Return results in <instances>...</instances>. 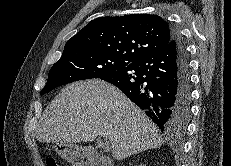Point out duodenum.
Wrapping results in <instances>:
<instances>
[{
    "label": "duodenum",
    "instance_id": "410a0bca",
    "mask_svg": "<svg viewBox=\"0 0 231 166\" xmlns=\"http://www.w3.org/2000/svg\"><path fill=\"white\" fill-rule=\"evenodd\" d=\"M83 158L88 166H112L104 155H101L93 150H87L83 154Z\"/></svg>",
    "mask_w": 231,
    "mask_h": 166
}]
</instances>
